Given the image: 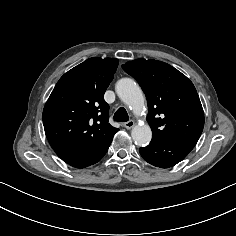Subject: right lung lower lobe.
<instances>
[{"label":"right lung lower lobe","instance_id":"98d812e1","mask_svg":"<svg viewBox=\"0 0 236 236\" xmlns=\"http://www.w3.org/2000/svg\"><path fill=\"white\" fill-rule=\"evenodd\" d=\"M113 137L102 146L94 149L54 148L56 154L67 164L75 168H85L100 161L106 154Z\"/></svg>","mask_w":236,"mask_h":236}]
</instances>
